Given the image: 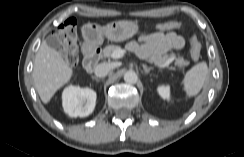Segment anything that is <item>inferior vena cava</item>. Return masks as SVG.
<instances>
[{"label": "inferior vena cava", "instance_id": "obj_1", "mask_svg": "<svg viewBox=\"0 0 244 157\" xmlns=\"http://www.w3.org/2000/svg\"><path fill=\"white\" fill-rule=\"evenodd\" d=\"M112 67L108 63H101L95 68V75L97 77H105L110 71Z\"/></svg>", "mask_w": 244, "mask_h": 157}]
</instances>
